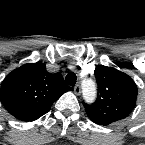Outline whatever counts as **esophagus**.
I'll return each mask as SVG.
<instances>
[{"instance_id": "obj_1", "label": "esophagus", "mask_w": 145, "mask_h": 145, "mask_svg": "<svg viewBox=\"0 0 145 145\" xmlns=\"http://www.w3.org/2000/svg\"><path fill=\"white\" fill-rule=\"evenodd\" d=\"M74 93H75L76 95H80V93H81V87H80L79 84H77V85L74 87Z\"/></svg>"}]
</instances>
